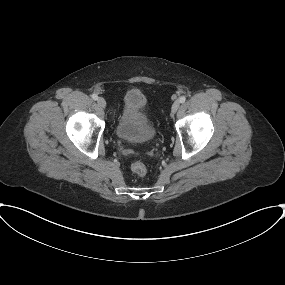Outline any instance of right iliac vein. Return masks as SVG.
Returning a JSON list of instances; mask_svg holds the SVG:
<instances>
[{"label": "right iliac vein", "mask_w": 285, "mask_h": 285, "mask_svg": "<svg viewBox=\"0 0 285 285\" xmlns=\"http://www.w3.org/2000/svg\"><path fill=\"white\" fill-rule=\"evenodd\" d=\"M97 104H98V106H99L100 108H105V107H106V101H105V99L102 98V97H99V98L97 99Z\"/></svg>", "instance_id": "obj_1"}]
</instances>
